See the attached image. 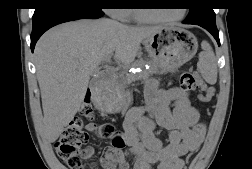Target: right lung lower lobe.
<instances>
[{"instance_id":"right-lung-lower-lobe-1","label":"right lung lower lobe","mask_w":252,"mask_h":169,"mask_svg":"<svg viewBox=\"0 0 252 169\" xmlns=\"http://www.w3.org/2000/svg\"><path fill=\"white\" fill-rule=\"evenodd\" d=\"M74 1L75 0H50L47 7L34 12L31 34L32 52L37 40L49 28L68 21L77 19H97L104 15L102 11L76 4Z\"/></svg>"}]
</instances>
